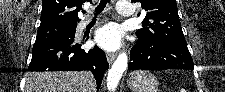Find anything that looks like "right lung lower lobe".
Here are the masks:
<instances>
[{"instance_id": "98d812e1", "label": "right lung lower lobe", "mask_w": 225, "mask_h": 92, "mask_svg": "<svg viewBox=\"0 0 225 92\" xmlns=\"http://www.w3.org/2000/svg\"><path fill=\"white\" fill-rule=\"evenodd\" d=\"M105 53L95 46L89 51L81 49L73 39L47 43L33 47L28 71H77L93 73L99 89L104 73L108 69Z\"/></svg>"}]
</instances>
